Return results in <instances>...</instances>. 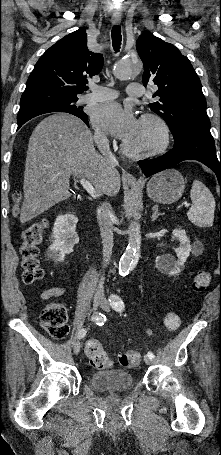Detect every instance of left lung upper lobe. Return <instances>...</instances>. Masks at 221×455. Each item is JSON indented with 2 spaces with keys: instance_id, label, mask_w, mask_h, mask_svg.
Instances as JSON below:
<instances>
[{
  "instance_id": "1",
  "label": "left lung upper lobe",
  "mask_w": 221,
  "mask_h": 455,
  "mask_svg": "<svg viewBox=\"0 0 221 455\" xmlns=\"http://www.w3.org/2000/svg\"><path fill=\"white\" fill-rule=\"evenodd\" d=\"M136 48L144 64L143 85H157V101L149 106L166 121L174 141L188 132L211 134L206 99L189 59L151 33L141 34Z\"/></svg>"
}]
</instances>
